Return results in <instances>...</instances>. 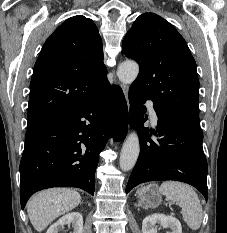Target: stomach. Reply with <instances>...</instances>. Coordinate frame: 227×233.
<instances>
[{
	"label": "stomach",
	"mask_w": 227,
	"mask_h": 233,
	"mask_svg": "<svg viewBox=\"0 0 227 233\" xmlns=\"http://www.w3.org/2000/svg\"><path fill=\"white\" fill-rule=\"evenodd\" d=\"M136 194L140 199V204L146 209L156 208L162 202V197L155 185L143 187Z\"/></svg>",
	"instance_id": "1"
}]
</instances>
